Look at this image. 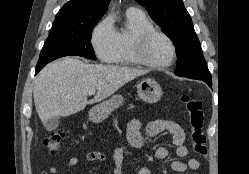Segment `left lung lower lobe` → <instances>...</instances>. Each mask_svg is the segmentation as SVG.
Instances as JSON below:
<instances>
[{"mask_svg":"<svg viewBox=\"0 0 249 174\" xmlns=\"http://www.w3.org/2000/svg\"><path fill=\"white\" fill-rule=\"evenodd\" d=\"M198 80H203L204 82H206L209 87H212V79L210 78H197Z\"/></svg>","mask_w":249,"mask_h":174,"instance_id":"1","label":"left lung lower lobe"}]
</instances>
